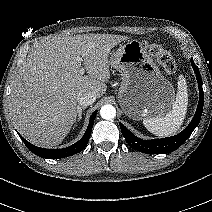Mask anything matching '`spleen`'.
Returning <instances> with one entry per match:
<instances>
[{"mask_svg": "<svg viewBox=\"0 0 212 212\" xmlns=\"http://www.w3.org/2000/svg\"><path fill=\"white\" fill-rule=\"evenodd\" d=\"M188 92L185 78L180 75L178 91L171 110L163 117L145 118L143 124L148 131L156 136H169L175 134L181 127L187 112Z\"/></svg>", "mask_w": 212, "mask_h": 212, "instance_id": "1", "label": "spleen"}]
</instances>
